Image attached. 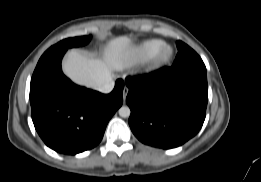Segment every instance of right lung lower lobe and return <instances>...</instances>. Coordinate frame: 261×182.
I'll list each match as a JSON object with an SVG mask.
<instances>
[{
	"mask_svg": "<svg viewBox=\"0 0 261 182\" xmlns=\"http://www.w3.org/2000/svg\"><path fill=\"white\" fill-rule=\"evenodd\" d=\"M66 50L40 58L30 84L32 120L44 143L58 153L77 154L102 140L108 121L122 105L124 82L110 94L72 83L61 70Z\"/></svg>",
	"mask_w": 261,
	"mask_h": 182,
	"instance_id": "obj_1",
	"label": "right lung lower lobe"
}]
</instances>
